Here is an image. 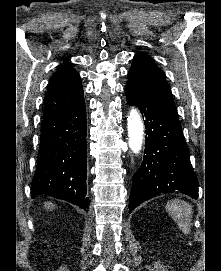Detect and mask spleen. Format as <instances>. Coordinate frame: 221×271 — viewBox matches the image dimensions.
Here are the masks:
<instances>
[{
    "instance_id": "spleen-1",
    "label": "spleen",
    "mask_w": 221,
    "mask_h": 271,
    "mask_svg": "<svg viewBox=\"0 0 221 271\" xmlns=\"http://www.w3.org/2000/svg\"><path fill=\"white\" fill-rule=\"evenodd\" d=\"M192 207L193 205H190L187 201H183V199H172L166 205L169 215H171L172 219H174L175 223L179 225L181 231L186 233V235L191 231Z\"/></svg>"
}]
</instances>
